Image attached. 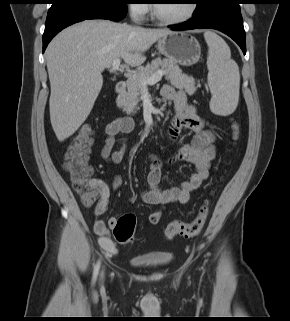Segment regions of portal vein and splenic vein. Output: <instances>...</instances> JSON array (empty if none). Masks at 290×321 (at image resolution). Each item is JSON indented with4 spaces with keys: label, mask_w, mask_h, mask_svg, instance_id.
Returning <instances> with one entry per match:
<instances>
[{
    "label": "portal vein and splenic vein",
    "mask_w": 290,
    "mask_h": 321,
    "mask_svg": "<svg viewBox=\"0 0 290 321\" xmlns=\"http://www.w3.org/2000/svg\"><path fill=\"white\" fill-rule=\"evenodd\" d=\"M120 59H116L113 61L112 63V70L113 71H117L120 69ZM165 74V71L164 70H158L156 71L153 75H151L149 78L147 79H143L141 81L142 85H149V84H154L158 81H160L163 77V75Z\"/></svg>",
    "instance_id": "1"
}]
</instances>
